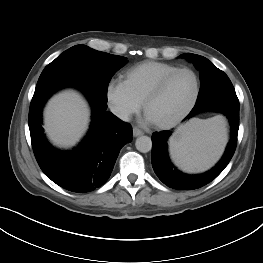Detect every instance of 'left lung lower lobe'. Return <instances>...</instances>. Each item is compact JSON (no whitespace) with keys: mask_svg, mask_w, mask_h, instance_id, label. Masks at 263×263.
I'll return each instance as SVG.
<instances>
[{"mask_svg":"<svg viewBox=\"0 0 263 263\" xmlns=\"http://www.w3.org/2000/svg\"><path fill=\"white\" fill-rule=\"evenodd\" d=\"M203 111L220 112L228 117L231 124V139L226 151L218 164L210 171L199 175H188L178 171L168 157L167 139L172 132L165 130L153 133L152 166L158 178L168 187L193 190L208 184L225 169L235 152L239 129V100L236 93H215L197 101L184 121Z\"/></svg>","mask_w":263,"mask_h":263,"instance_id":"obj_1","label":"left lung lower lobe"}]
</instances>
